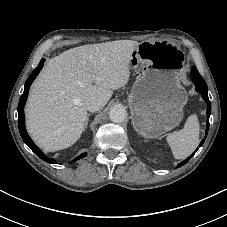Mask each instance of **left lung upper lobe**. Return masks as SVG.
<instances>
[{
    "instance_id": "1",
    "label": "left lung upper lobe",
    "mask_w": 227,
    "mask_h": 227,
    "mask_svg": "<svg viewBox=\"0 0 227 227\" xmlns=\"http://www.w3.org/2000/svg\"><path fill=\"white\" fill-rule=\"evenodd\" d=\"M192 76H197L199 80H204L201 75L199 74L198 70L196 69V67H193L192 68V73H191V77Z\"/></svg>"
}]
</instances>
